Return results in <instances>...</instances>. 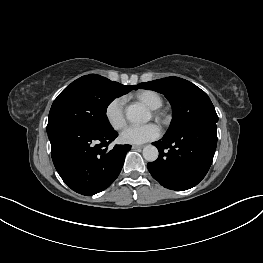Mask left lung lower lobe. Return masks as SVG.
I'll return each mask as SVG.
<instances>
[{"mask_svg": "<svg viewBox=\"0 0 263 263\" xmlns=\"http://www.w3.org/2000/svg\"><path fill=\"white\" fill-rule=\"evenodd\" d=\"M216 129L215 125L189 127L154 142L159 158L147 164L152 177L165 188L177 191L197 185L211 166Z\"/></svg>", "mask_w": 263, "mask_h": 263, "instance_id": "left-lung-lower-lobe-1", "label": "left lung lower lobe"}]
</instances>
